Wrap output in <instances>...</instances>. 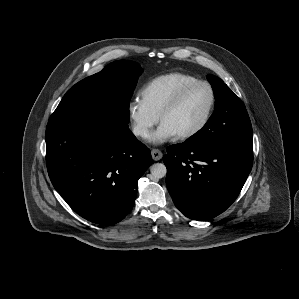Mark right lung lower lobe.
I'll return each mask as SVG.
<instances>
[{"label": "right lung lower lobe", "mask_w": 299, "mask_h": 299, "mask_svg": "<svg viewBox=\"0 0 299 299\" xmlns=\"http://www.w3.org/2000/svg\"><path fill=\"white\" fill-rule=\"evenodd\" d=\"M151 163L150 150L115 117L47 124L50 180L68 205L93 223L115 224L131 211L138 180Z\"/></svg>", "instance_id": "right-lung-lower-lobe-1"}]
</instances>
